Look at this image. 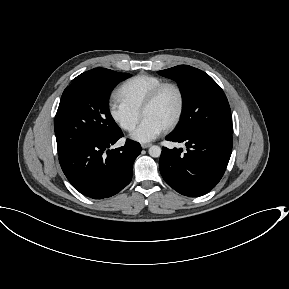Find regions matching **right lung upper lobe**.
Instances as JSON below:
<instances>
[{
  "mask_svg": "<svg viewBox=\"0 0 289 289\" xmlns=\"http://www.w3.org/2000/svg\"><path fill=\"white\" fill-rule=\"evenodd\" d=\"M112 72V70L109 69H105V68H94L90 71H87L85 73L80 74L79 76H77L76 78H101L104 77L108 74H110Z\"/></svg>",
  "mask_w": 289,
  "mask_h": 289,
  "instance_id": "1",
  "label": "right lung upper lobe"
}]
</instances>
